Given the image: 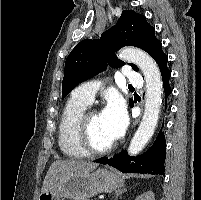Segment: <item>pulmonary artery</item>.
I'll use <instances>...</instances> for the list:
<instances>
[{
  "label": "pulmonary artery",
  "mask_w": 201,
  "mask_h": 200,
  "mask_svg": "<svg viewBox=\"0 0 201 200\" xmlns=\"http://www.w3.org/2000/svg\"><path fill=\"white\" fill-rule=\"evenodd\" d=\"M124 74L126 76V80L133 85L141 86L142 85V77L140 73L131 71L129 68L124 69ZM101 88V83L97 81H91L85 83L73 91V96L78 99L84 100L87 103H91Z\"/></svg>",
  "instance_id": "pulmonary-artery-1"
}]
</instances>
